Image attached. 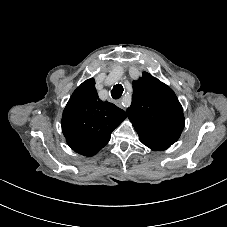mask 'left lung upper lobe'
I'll list each match as a JSON object with an SVG mask.
<instances>
[{
    "label": "left lung upper lobe",
    "mask_w": 227,
    "mask_h": 227,
    "mask_svg": "<svg viewBox=\"0 0 227 227\" xmlns=\"http://www.w3.org/2000/svg\"><path fill=\"white\" fill-rule=\"evenodd\" d=\"M133 96L127 115L136 131H145L170 144L185 125L183 109L171 88L149 73L133 81Z\"/></svg>",
    "instance_id": "left-lung-upper-lobe-1"
}]
</instances>
